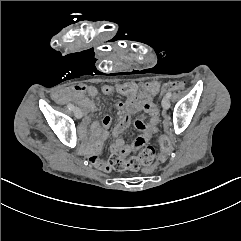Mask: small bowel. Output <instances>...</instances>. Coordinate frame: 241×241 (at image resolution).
<instances>
[{
  "label": "small bowel",
  "mask_w": 241,
  "mask_h": 241,
  "mask_svg": "<svg viewBox=\"0 0 241 241\" xmlns=\"http://www.w3.org/2000/svg\"><path fill=\"white\" fill-rule=\"evenodd\" d=\"M101 93L104 96H111L113 94V87L110 84H105L101 87ZM87 94L91 97H95L98 94V89L92 85L78 84L72 88L62 89L56 93V98L61 102L75 101L81 105L86 114L94 110L92 102L83 98V95ZM150 93L145 95L136 94L131 100L126 102L118 101L115 106L118 110L126 109L127 113L121 116L120 121L113 127L112 135L116 138L115 142L110 146V152L112 155L127 156L132 152L137 151L145 144H147L153 136L158 132L159 126V110L153 102V97ZM144 111L149 120L145 121L143 116L138 117L134 121V127L139 131V135L131 142L126 143L121 135L126 131L131 123L130 113L137 111ZM111 125V118L105 116L102 119L101 125L94 123L91 126L92 134L94 135V142L91 151L88 153V160L96 168L104 171L110 169L108 162L98 158L97 154L100 152V145L108 137V129Z\"/></svg>",
  "instance_id": "1"
}]
</instances>
